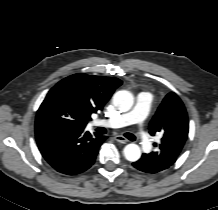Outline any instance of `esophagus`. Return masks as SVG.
<instances>
[{"label": "esophagus", "instance_id": "34e87169", "mask_svg": "<svg viewBox=\"0 0 218 210\" xmlns=\"http://www.w3.org/2000/svg\"><path fill=\"white\" fill-rule=\"evenodd\" d=\"M114 139H115L117 142H120V143H126V142H128V140H127L125 137L121 136V135H116V136H114Z\"/></svg>", "mask_w": 218, "mask_h": 210}]
</instances>
